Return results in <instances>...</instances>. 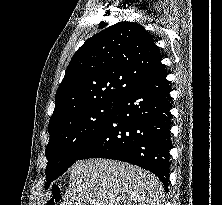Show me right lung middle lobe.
<instances>
[{
	"mask_svg": "<svg viewBox=\"0 0 222 205\" xmlns=\"http://www.w3.org/2000/svg\"><path fill=\"white\" fill-rule=\"evenodd\" d=\"M121 101H110L85 107L49 125L50 140L45 153L48 182L62 175L76 160L91 139L104 126Z\"/></svg>",
	"mask_w": 222,
	"mask_h": 205,
	"instance_id": "right-lung-middle-lobe-1",
	"label": "right lung middle lobe"
}]
</instances>
